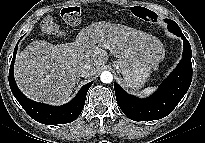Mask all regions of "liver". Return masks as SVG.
Instances as JSON below:
<instances>
[{
    "mask_svg": "<svg viewBox=\"0 0 205 143\" xmlns=\"http://www.w3.org/2000/svg\"><path fill=\"white\" fill-rule=\"evenodd\" d=\"M104 44L111 55L120 59L143 57L158 63L162 58L155 56L157 45L161 44L155 36L99 21L84 27L71 43L54 45L45 40L30 43L16 56V83L32 100L61 104L80 81V69L84 65H92L96 74L107 63L109 54ZM160 50L163 53L162 45Z\"/></svg>",
    "mask_w": 205,
    "mask_h": 143,
    "instance_id": "obj_1",
    "label": "liver"
}]
</instances>
